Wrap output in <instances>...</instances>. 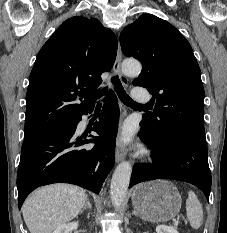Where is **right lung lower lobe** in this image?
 I'll list each match as a JSON object with an SVG mask.
<instances>
[{
  "mask_svg": "<svg viewBox=\"0 0 227 233\" xmlns=\"http://www.w3.org/2000/svg\"><path fill=\"white\" fill-rule=\"evenodd\" d=\"M93 108L82 115L91 113ZM82 115L24 138L17 172L19 209L29 193L47 184L71 183L99 193L114 165L119 118L115 94L107 95L99 122L92 128L99 137L76 132ZM89 143L97 144L83 147Z\"/></svg>",
  "mask_w": 227,
  "mask_h": 233,
  "instance_id": "obj_1",
  "label": "right lung lower lobe"
}]
</instances>
